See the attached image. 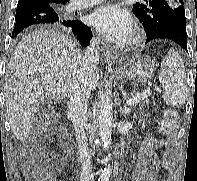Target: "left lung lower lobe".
<instances>
[{
  "label": "left lung lower lobe",
  "mask_w": 197,
  "mask_h": 181,
  "mask_svg": "<svg viewBox=\"0 0 197 181\" xmlns=\"http://www.w3.org/2000/svg\"><path fill=\"white\" fill-rule=\"evenodd\" d=\"M158 38L171 39L188 52L186 18L179 16L164 20L157 31L150 37H147L146 43Z\"/></svg>",
  "instance_id": "left-lung-lower-lobe-1"
}]
</instances>
